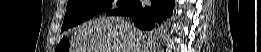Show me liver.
<instances>
[{
	"label": "liver",
	"mask_w": 261,
	"mask_h": 52,
	"mask_svg": "<svg viewBox=\"0 0 261 52\" xmlns=\"http://www.w3.org/2000/svg\"><path fill=\"white\" fill-rule=\"evenodd\" d=\"M71 42L73 52H145L156 44L121 17L90 20L78 27Z\"/></svg>",
	"instance_id": "6515ba94"
}]
</instances>
